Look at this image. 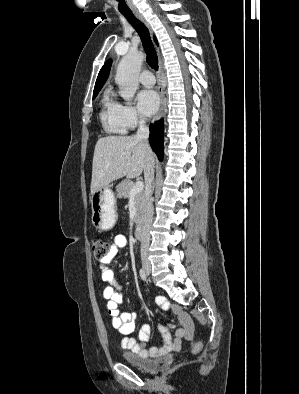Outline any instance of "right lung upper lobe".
Segmentation results:
<instances>
[{
    "mask_svg": "<svg viewBox=\"0 0 299 394\" xmlns=\"http://www.w3.org/2000/svg\"><path fill=\"white\" fill-rule=\"evenodd\" d=\"M155 42L157 43L156 38H154ZM111 60H108L104 66L101 68L96 83H95V88H94V92L93 94H98V92L101 90V88L103 87L105 81L108 78L109 72H110V68H111Z\"/></svg>",
    "mask_w": 299,
    "mask_h": 394,
    "instance_id": "obj_1",
    "label": "right lung upper lobe"
}]
</instances>
